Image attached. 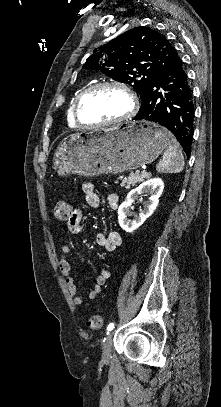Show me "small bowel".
Returning <instances> with one entry per match:
<instances>
[{"instance_id":"obj_1","label":"small bowel","mask_w":221,"mask_h":407,"mask_svg":"<svg viewBox=\"0 0 221 407\" xmlns=\"http://www.w3.org/2000/svg\"><path fill=\"white\" fill-rule=\"evenodd\" d=\"M82 191L87 204L93 208H99L101 206V198L96 186L91 182H86L82 185ZM107 203L109 207L116 211L119 205V196L116 193H110L107 195ZM82 211L75 209L70 219L66 222L67 230L73 235H79L82 232L81 226ZM96 242L106 251H112L122 243L121 235L117 231H104L100 232L96 237ZM69 246L67 244L62 246V253L58 260V269L64 277V282L68 288L76 305L83 303L84 297L79 293L77 284L71 275V265L69 262ZM111 277V269L108 266H103L96 279L94 287L88 291L87 296L89 299H95L101 292L102 287L107 283Z\"/></svg>"}]
</instances>
